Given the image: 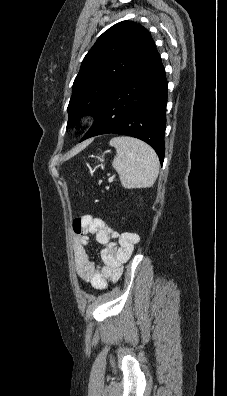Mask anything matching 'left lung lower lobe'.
I'll use <instances>...</instances> for the list:
<instances>
[{"mask_svg": "<svg viewBox=\"0 0 227 396\" xmlns=\"http://www.w3.org/2000/svg\"><path fill=\"white\" fill-rule=\"evenodd\" d=\"M167 80L155 48L106 98L81 141L102 134H122L148 143L164 160Z\"/></svg>", "mask_w": 227, "mask_h": 396, "instance_id": "left-lung-lower-lobe-1", "label": "left lung lower lobe"}]
</instances>
